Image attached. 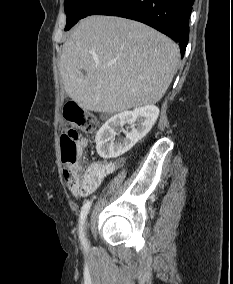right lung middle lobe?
Returning <instances> with one entry per match:
<instances>
[{
  "label": "right lung middle lobe",
  "instance_id": "dd1d6c3e",
  "mask_svg": "<svg viewBox=\"0 0 233 284\" xmlns=\"http://www.w3.org/2000/svg\"><path fill=\"white\" fill-rule=\"evenodd\" d=\"M107 0H65L64 9L67 15L65 30H69L81 18H84L96 10Z\"/></svg>",
  "mask_w": 233,
  "mask_h": 284
}]
</instances>
